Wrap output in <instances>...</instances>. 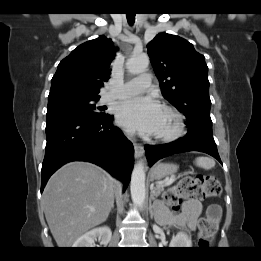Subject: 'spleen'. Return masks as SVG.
I'll return each instance as SVG.
<instances>
[{
  "mask_svg": "<svg viewBox=\"0 0 261 261\" xmlns=\"http://www.w3.org/2000/svg\"><path fill=\"white\" fill-rule=\"evenodd\" d=\"M195 164L198 167L209 170L215 166V161L212 158L200 156L195 159Z\"/></svg>",
  "mask_w": 261,
  "mask_h": 261,
  "instance_id": "1",
  "label": "spleen"
}]
</instances>
